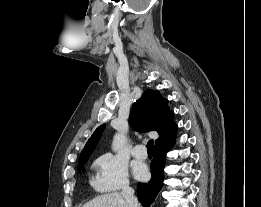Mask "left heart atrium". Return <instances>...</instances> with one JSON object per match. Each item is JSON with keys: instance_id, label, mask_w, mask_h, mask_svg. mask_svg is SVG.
<instances>
[{"instance_id": "left-heart-atrium-1", "label": "left heart atrium", "mask_w": 261, "mask_h": 207, "mask_svg": "<svg viewBox=\"0 0 261 207\" xmlns=\"http://www.w3.org/2000/svg\"><path fill=\"white\" fill-rule=\"evenodd\" d=\"M133 169L134 174L137 178H143L147 173L146 167L143 164L137 163L134 165Z\"/></svg>"}]
</instances>
